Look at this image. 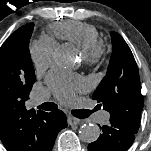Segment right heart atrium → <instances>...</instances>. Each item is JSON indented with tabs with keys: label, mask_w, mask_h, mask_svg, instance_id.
Returning a JSON list of instances; mask_svg holds the SVG:
<instances>
[{
	"label": "right heart atrium",
	"mask_w": 151,
	"mask_h": 151,
	"mask_svg": "<svg viewBox=\"0 0 151 151\" xmlns=\"http://www.w3.org/2000/svg\"><path fill=\"white\" fill-rule=\"evenodd\" d=\"M53 44L46 40H36L29 49L30 57L37 68L48 66L52 61Z\"/></svg>",
	"instance_id": "obj_1"
}]
</instances>
